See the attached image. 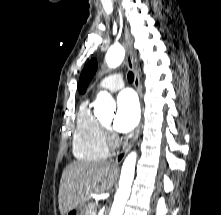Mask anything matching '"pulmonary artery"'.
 Wrapping results in <instances>:
<instances>
[{
    "label": "pulmonary artery",
    "instance_id": "pulmonary-artery-1",
    "mask_svg": "<svg viewBox=\"0 0 221 215\" xmlns=\"http://www.w3.org/2000/svg\"><path fill=\"white\" fill-rule=\"evenodd\" d=\"M124 87V80L121 74L114 73L104 79L99 83V88L109 91H118Z\"/></svg>",
    "mask_w": 221,
    "mask_h": 215
}]
</instances>
